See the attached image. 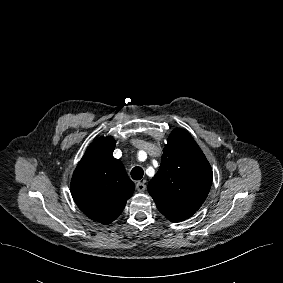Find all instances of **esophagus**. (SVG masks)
Instances as JSON below:
<instances>
[{"instance_id":"esophagus-1","label":"esophagus","mask_w":283,"mask_h":283,"mask_svg":"<svg viewBox=\"0 0 283 283\" xmlns=\"http://www.w3.org/2000/svg\"><path fill=\"white\" fill-rule=\"evenodd\" d=\"M136 189H137L138 192H143L146 189V185L142 182H138L136 184Z\"/></svg>"}]
</instances>
